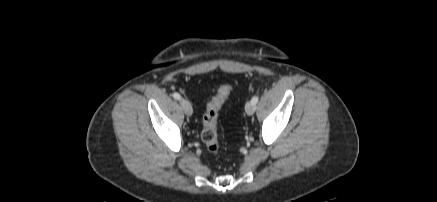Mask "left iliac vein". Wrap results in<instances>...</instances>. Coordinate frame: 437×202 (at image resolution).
<instances>
[{
    "label": "left iliac vein",
    "mask_w": 437,
    "mask_h": 202,
    "mask_svg": "<svg viewBox=\"0 0 437 202\" xmlns=\"http://www.w3.org/2000/svg\"><path fill=\"white\" fill-rule=\"evenodd\" d=\"M256 110L255 104L248 102L245 106V111L248 115H253Z\"/></svg>",
    "instance_id": "left-iliac-vein-1"
}]
</instances>
